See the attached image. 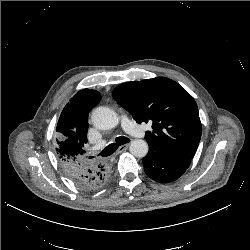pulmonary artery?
<instances>
[{
	"label": "pulmonary artery",
	"instance_id": "pulmonary-artery-1",
	"mask_svg": "<svg viewBox=\"0 0 250 250\" xmlns=\"http://www.w3.org/2000/svg\"><path fill=\"white\" fill-rule=\"evenodd\" d=\"M122 125L125 131L134 136L143 137L145 134L143 128H141L139 125H137L134 121L130 120L126 116L122 118Z\"/></svg>",
	"mask_w": 250,
	"mask_h": 250
}]
</instances>
